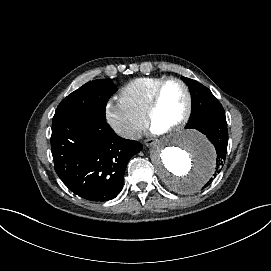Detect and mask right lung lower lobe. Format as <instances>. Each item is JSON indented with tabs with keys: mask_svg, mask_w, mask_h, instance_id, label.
Listing matches in <instances>:
<instances>
[{
	"mask_svg": "<svg viewBox=\"0 0 271 271\" xmlns=\"http://www.w3.org/2000/svg\"><path fill=\"white\" fill-rule=\"evenodd\" d=\"M141 149V143L117 136L105 117L73 113L52 123L55 171L74 194L89 201L115 198L128 161Z\"/></svg>",
	"mask_w": 271,
	"mask_h": 271,
	"instance_id": "obj_1",
	"label": "right lung lower lobe"
}]
</instances>
